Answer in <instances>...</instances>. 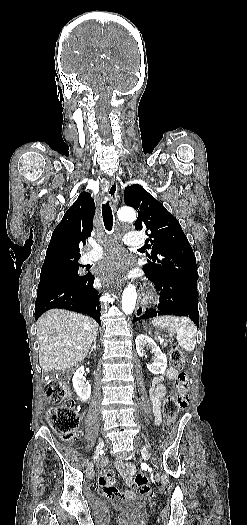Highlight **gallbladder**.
Wrapping results in <instances>:
<instances>
[{"label":"gallbladder","mask_w":247,"mask_h":525,"mask_svg":"<svg viewBox=\"0 0 247 525\" xmlns=\"http://www.w3.org/2000/svg\"><path fill=\"white\" fill-rule=\"evenodd\" d=\"M63 372L64 373H69V368H64ZM50 377H51V379H54V375L53 374H50Z\"/></svg>","instance_id":"1"}]
</instances>
